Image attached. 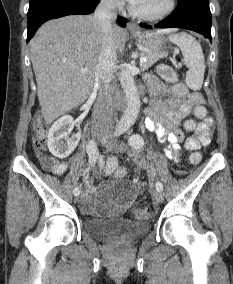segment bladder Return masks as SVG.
Here are the masks:
<instances>
[{
  "label": "bladder",
  "mask_w": 233,
  "mask_h": 284,
  "mask_svg": "<svg viewBox=\"0 0 233 284\" xmlns=\"http://www.w3.org/2000/svg\"><path fill=\"white\" fill-rule=\"evenodd\" d=\"M136 188L126 180L112 181L108 185L91 192L86 196L94 204L91 195L104 204H124L132 202L136 197ZM83 230L93 238L107 240L123 235L129 239L145 235L151 227L149 221H136L124 217H88L83 220Z\"/></svg>",
  "instance_id": "obj_1"
}]
</instances>
